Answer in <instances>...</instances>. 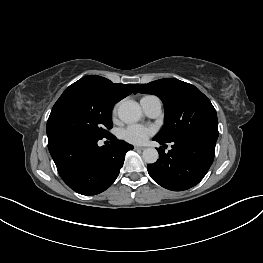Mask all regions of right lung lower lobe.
<instances>
[{"instance_id":"right-lung-lower-lobe-1","label":"right lung lower lobe","mask_w":263,"mask_h":263,"mask_svg":"<svg viewBox=\"0 0 263 263\" xmlns=\"http://www.w3.org/2000/svg\"><path fill=\"white\" fill-rule=\"evenodd\" d=\"M108 146L99 137L67 135L48 140V149L63 181L82 195H96L112 185L133 146L112 134Z\"/></svg>"}]
</instances>
